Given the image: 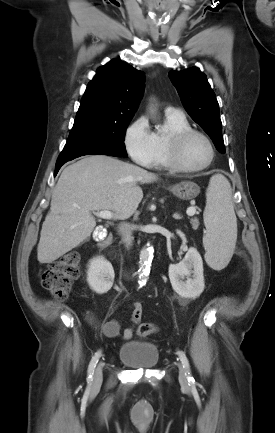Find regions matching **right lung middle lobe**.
Masks as SVG:
<instances>
[{
  "instance_id": "obj_1",
  "label": "right lung middle lobe",
  "mask_w": 275,
  "mask_h": 433,
  "mask_svg": "<svg viewBox=\"0 0 275 433\" xmlns=\"http://www.w3.org/2000/svg\"><path fill=\"white\" fill-rule=\"evenodd\" d=\"M130 120L117 122L105 120L75 121L57 163L94 154L127 157L123 140Z\"/></svg>"
}]
</instances>
